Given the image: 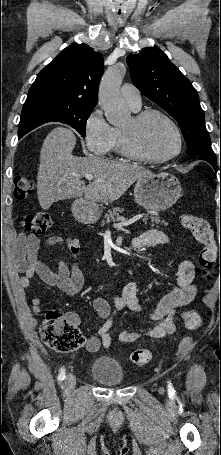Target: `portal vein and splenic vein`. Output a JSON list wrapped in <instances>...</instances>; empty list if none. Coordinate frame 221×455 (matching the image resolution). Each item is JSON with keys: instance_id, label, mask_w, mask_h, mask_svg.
Returning <instances> with one entry per match:
<instances>
[{"instance_id": "1", "label": "portal vein and splenic vein", "mask_w": 221, "mask_h": 455, "mask_svg": "<svg viewBox=\"0 0 221 455\" xmlns=\"http://www.w3.org/2000/svg\"><path fill=\"white\" fill-rule=\"evenodd\" d=\"M84 177H85V179H87V180H93V178H94L92 174H85ZM97 181H100V182H101V180H97ZM143 216H144V214L136 215V216L130 218L129 220H123V221H121V222H119V223H115V224H114V227H115V228H121V227H123V226L131 225V224H133L134 222H136V221H138L139 219H141Z\"/></svg>"}]
</instances>
